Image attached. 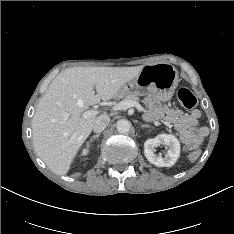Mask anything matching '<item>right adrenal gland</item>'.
<instances>
[{
    "label": "right adrenal gland",
    "instance_id": "1",
    "mask_svg": "<svg viewBox=\"0 0 234 234\" xmlns=\"http://www.w3.org/2000/svg\"><path fill=\"white\" fill-rule=\"evenodd\" d=\"M100 135L101 134L99 133V134L92 136L89 142H92L93 140L98 139L100 137Z\"/></svg>",
    "mask_w": 234,
    "mask_h": 234
}]
</instances>
